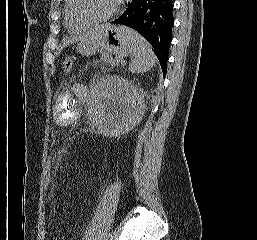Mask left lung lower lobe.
I'll use <instances>...</instances> for the list:
<instances>
[{
    "mask_svg": "<svg viewBox=\"0 0 257 240\" xmlns=\"http://www.w3.org/2000/svg\"><path fill=\"white\" fill-rule=\"evenodd\" d=\"M172 0H134L124 13L112 21L138 31L154 48L163 75L167 72L169 46L172 40Z\"/></svg>",
    "mask_w": 257,
    "mask_h": 240,
    "instance_id": "1",
    "label": "left lung lower lobe"
}]
</instances>
